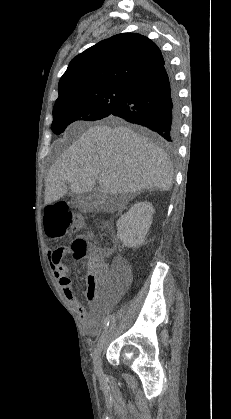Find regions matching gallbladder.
<instances>
[{
  "label": "gallbladder",
  "instance_id": "bac80fb5",
  "mask_svg": "<svg viewBox=\"0 0 231 419\" xmlns=\"http://www.w3.org/2000/svg\"><path fill=\"white\" fill-rule=\"evenodd\" d=\"M86 197V195H75L73 198V202L77 205H81L82 198Z\"/></svg>",
  "mask_w": 231,
  "mask_h": 419
}]
</instances>
